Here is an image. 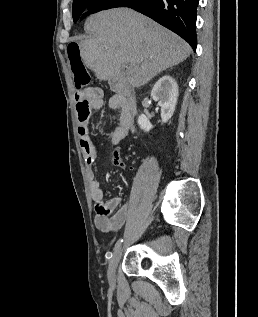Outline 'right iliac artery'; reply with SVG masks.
<instances>
[{
    "label": "right iliac artery",
    "mask_w": 258,
    "mask_h": 317,
    "mask_svg": "<svg viewBox=\"0 0 258 317\" xmlns=\"http://www.w3.org/2000/svg\"><path fill=\"white\" fill-rule=\"evenodd\" d=\"M123 238H120L117 243L115 244L114 250L117 251V249L120 247L121 243L123 242Z\"/></svg>",
    "instance_id": "82829eb1"
}]
</instances>
